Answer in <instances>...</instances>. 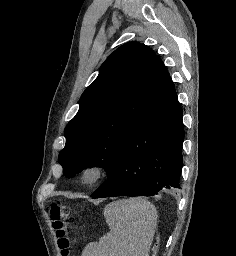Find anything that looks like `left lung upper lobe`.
<instances>
[{
    "mask_svg": "<svg viewBox=\"0 0 236 256\" xmlns=\"http://www.w3.org/2000/svg\"><path fill=\"white\" fill-rule=\"evenodd\" d=\"M175 93L163 62L148 46H120L83 92L79 111L65 128L58 158L64 175L96 166L109 178L137 125Z\"/></svg>",
    "mask_w": 236,
    "mask_h": 256,
    "instance_id": "obj_1",
    "label": "left lung upper lobe"
}]
</instances>
